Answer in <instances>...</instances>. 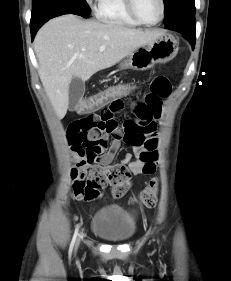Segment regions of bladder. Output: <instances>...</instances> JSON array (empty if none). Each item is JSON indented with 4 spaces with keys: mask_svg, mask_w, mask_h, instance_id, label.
I'll return each instance as SVG.
<instances>
[{
    "mask_svg": "<svg viewBox=\"0 0 231 281\" xmlns=\"http://www.w3.org/2000/svg\"><path fill=\"white\" fill-rule=\"evenodd\" d=\"M92 233L111 243L128 241L136 232L133 217L121 206L109 204L99 208L92 219Z\"/></svg>",
    "mask_w": 231,
    "mask_h": 281,
    "instance_id": "31cf9c89",
    "label": "bladder"
}]
</instances>
